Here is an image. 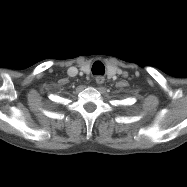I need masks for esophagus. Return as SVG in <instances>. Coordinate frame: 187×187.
I'll use <instances>...</instances> for the list:
<instances>
[{
  "label": "esophagus",
  "mask_w": 187,
  "mask_h": 187,
  "mask_svg": "<svg viewBox=\"0 0 187 187\" xmlns=\"http://www.w3.org/2000/svg\"><path fill=\"white\" fill-rule=\"evenodd\" d=\"M95 81H96L97 84L101 85V84L104 83L105 78H104L103 76H97V77L95 78Z\"/></svg>",
  "instance_id": "1"
}]
</instances>
